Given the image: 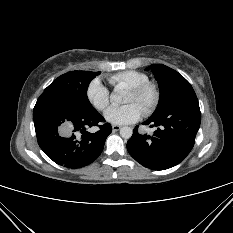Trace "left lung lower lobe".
I'll list each match as a JSON object with an SVG mask.
<instances>
[{"label":"left lung lower lobe","instance_id":"0a47b994","mask_svg":"<svg viewBox=\"0 0 233 233\" xmlns=\"http://www.w3.org/2000/svg\"><path fill=\"white\" fill-rule=\"evenodd\" d=\"M198 99L191 85L186 86L159 116L143 124L158 128L152 136L138 133L137 126L127 142L130 155L152 170H164L179 164L192 150L200 127Z\"/></svg>","mask_w":233,"mask_h":233}]
</instances>
